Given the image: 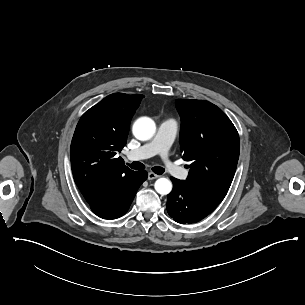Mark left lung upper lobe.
<instances>
[{
	"mask_svg": "<svg viewBox=\"0 0 305 305\" xmlns=\"http://www.w3.org/2000/svg\"><path fill=\"white\" fill-rule=\"evenodd\" d=\"M177 109L181 117L180 150L183 159L191 162L185 182L194 189L226 196L240 151L235 126L208 101L179 99Z\"/></svg>",
	"mask_w": 305,
	"mask_h": 305,
	"instance_id": "1",
	"label": "left lung upper lobe"
}]
</instances>
